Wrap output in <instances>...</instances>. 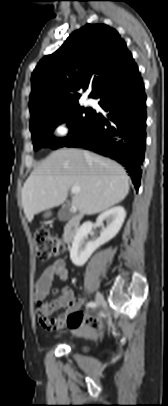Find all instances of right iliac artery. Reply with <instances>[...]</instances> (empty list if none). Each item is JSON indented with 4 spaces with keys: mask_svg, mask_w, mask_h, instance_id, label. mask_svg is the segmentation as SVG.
<instances>
[{
    "mask_svg": "<svg viewBox=\"0 0 168 406\" xmlns=\"http://www.w3.org/2000/svg\"><path fill=\"white\" fill-rule=\"evenodd\" d=\"M95 306V303L94 302H89V303H87V307H94Z\"/></svg>",
    "mask_w": 168,
    "mask_h": 406,
    "instance_id": "obj_1",
    "label": "right iliac artery"
}]
</instances>
